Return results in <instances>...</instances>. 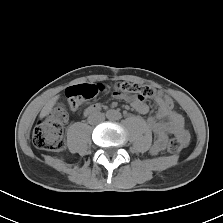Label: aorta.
<instances>
[{"label":"aorta","mask_w":223,"mask_h":223,"mask_svg":"<svg viewBox=\"0 0 223 223\" xmlns=\"http://www.w3.org/2000/svg\"><path fill=\"white\" fill-rule=\"evenodd\" d=\"M107 118L108 119H116L117 118V113L115 111H109L107 113Z\"/></svg>","instance_id":"obj_1"}]
</instances>
